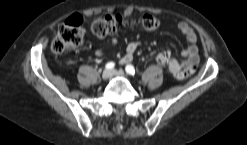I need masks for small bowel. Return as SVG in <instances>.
Instances as JSON below:
<instances>
[{"instance_id": "obj_1", "label": "small bowel", "mask_w": 247, "mask_h": 145, "mask_svg": "<svg viewBox=\"0 0 247 145\" xmlns=\"http://www.w3.org/2000/svg\"><path fill=\"white\" fill-rule=\"evenodd\" d=\"M177 27H178V30L186 38L188 42V46L184 48L183 50H181L180 52V55L183 57L182 60H178L176 57H173L170 53L166 52L170 57V61L167 64V66L169 68V71L172 74H176L177 72L186 73V72L195 70L199 63V54H198V48L196 45L197 35L195 34L194 30L186 22H179ZM110 43L112 45H116L118 43V38L116 36L111 37ZM139 45H140V42L138 41H131L127 44L125 54L120 59V63L122 65L128 64L133 60L134 55ZM103 54H104V51L102 49L96 50V55L98 57L103 56Z\"/></svg>"}]
</instances>
